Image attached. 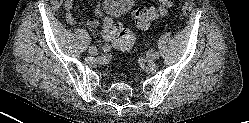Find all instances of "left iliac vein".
I'll return each mask as SVG.
<instances>
[{"instance_id":"obj_1","label":"left iliac vein","mask_w":249,"mask_h":123,"mask_svg":"<svg viewBox=\"0 0 249 123\" xmlns=\"http://www.w3.org/2000/svg\"><path fill=\"white\" fill-rule=\"evenodd\" d=\"M146 59L148 63H153L155 60V56H154V52L153 51H149L146 55Z\"/></svg>"}]
</instances>
